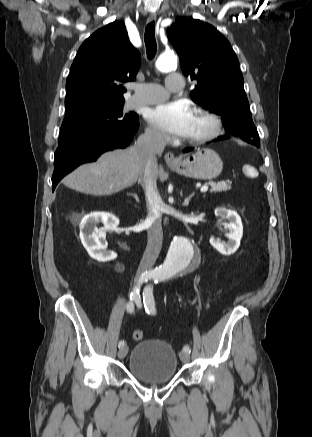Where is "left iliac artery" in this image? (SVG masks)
Listing matches in <instances>:
<instances>
[{
  "label": "left iliac artery",
  "mask_w": 312,
  "mask_h": 437,
  "mask_svg": "<svg viewBox=\"0 0 312 437\" xmlns=\"http://www.w3.org/2000/svg\"><path fill=\"white\" fill-rule=\"evenodd\" d=\"M154 282L158 283V278H154ZM143 302L145 305L146 312L148 314H155V301L153 296V288L151 286H146L143 291ZM183 351H186L188 353L191 352V348L189 345H184Z\"/></svg>",
  "instance_id": "44dca946"
}]
</instances>
